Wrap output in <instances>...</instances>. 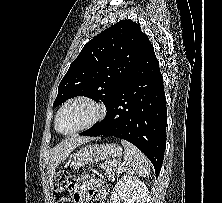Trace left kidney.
Returning <instances> with one entry per match:
<instances>
[{"label": "left kidney", "mask_w": 222, "mask_h": 203, "mask_svg": "<svg viewBox=\"0 0 222 203\" xmlns=\"http://www.w3.org/2000/svg\"><path fill=\"white\" fill-rule=\"evenodd\" d=\"M147 186L136 176H123L114 186L110 203H145Z\"/></svg>", "instance_id": "left-kidney-1"}]
</instances>
